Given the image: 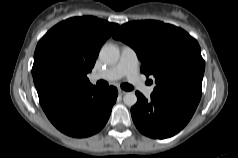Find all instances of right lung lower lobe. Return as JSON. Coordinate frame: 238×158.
<instances>
[{"instance_id":"98d812e1","label":"right lung lower lobe","mask_w":238,"mask_h":158,"mask_svg":"<svg viewBox=\"0 0 238 158\" xmlns=\"http://www.w3.org/2000/svg\"><path fill=\"white\" fill-rule=\"evenodd\" d=\"M40 104L52 124L73 137H87L106 124L116 102L117 89H99L43 83L36 87Z\"/></svg>"}]
</instances>
